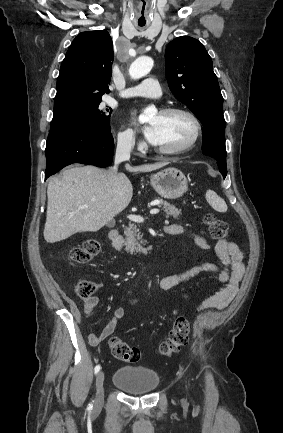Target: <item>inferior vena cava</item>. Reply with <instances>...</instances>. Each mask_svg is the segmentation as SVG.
<instances>
[{
	"label": "inferior vena cava",
	"mask_w": 283,
	"mask_h": 433,
	"mask_svg": "<svg viewBox=\"0 0 283 433\" xmlns=\"http://www.w3.org/2000/svg\"><path fill=\"white\" fill-rule=\"evenodd\" d=\"M134 144V140L131 138H123V140H118L116 154H115V166L113 170L117 172V164L122 162V160H129L130 150Z\"/></svg>",
	"instance_id": "obj_1"
}]
</instances>
